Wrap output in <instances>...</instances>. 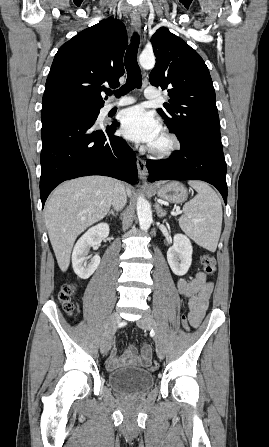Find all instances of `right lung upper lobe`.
Wrapping results in <instances>:
<instances>
[{"mask_svg": "<svg viewBox=\"0 0 269 447\" xmlns=\"http://www.w3.org/2000/svg\"><path fill=\"white\" fill-rule=\"evenodd\" d=\"M127 43L124 24L110 17L63 44L46 81L42 109L80 103L103 105L102 84L119 85Z\"/></svg>", "mask_w": 269, "mask_h": 447, "instance_id": "1", "label": "right lung upper lobe"}]
</instances>
